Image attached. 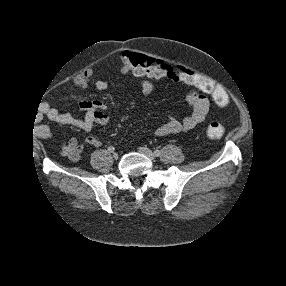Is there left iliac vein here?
Listing matches in <instances>:
<instances>
[{
    "mask_svg": "<svg viewBox=\"0 0 286 286\" xmlns=\"http://www.w3.org/2000/svg\"><path fill=\"white\" fill-rule=\"evenodd\" d=\"M138 151L149 157L152 161H154L156 158L155 154L147 147H139Z\"/></svg>",
    "mask_w": 286,
    "mask_h": 286,
    "instance_id": "obj_1",
    "label": "left iliac vein"
}]
</instances>
